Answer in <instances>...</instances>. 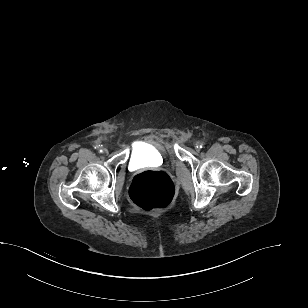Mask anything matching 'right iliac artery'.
<instances>
[{"mask_svg":"<svg viewBox=\"0 0 308 308\" xmlns=\"http://www.w3.org/2000/svg\"><path fill=\"white\" fill-rule=\"evenodd\" d=\"M95 148L99 151L102 152L103 151V147L100 145L95 146Z\"/></svg>","mask_w":308,"mask_h":308,"instance_id":"right-iliac-artery-1","label":"right iliac artery"}]
</instances>
